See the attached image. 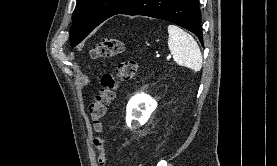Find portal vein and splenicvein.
I'll list each match as a JSON object with an SVG mask.
<instances>
[{"instance_id":"obj_1","label":"portal vein and splenic vein","mask_w":277,"mask_h":166,"mask_svg":"<svg viewBox=\"0 0 277 166\" xmlns=\"http://www.w3.org/2000/svg\"><path fill=\"white\" fill-rule=\"evenodd\" d=\"M156 57H160V55H156ZM168 59H170V57H168Z\"/></svg>"}]
</instances>
